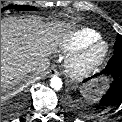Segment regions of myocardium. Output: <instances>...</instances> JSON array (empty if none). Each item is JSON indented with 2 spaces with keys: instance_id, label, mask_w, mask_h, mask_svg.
<instances>
[{
  "instance_id": "f54148a6",
  "label": "myocardium",
  "mask_w": 122,
  "mask_h": 122,
  "mask_svg": "<svg viewBox=\"0 0 122 122\" xmlns=\"http://www.w3.org/2000/svg\"><path fill=\"white\" fill-rule=\"evenodd\" d=\"M109 54V44L99 39L72 53L66 61L68 74L82 79L98 69Z\"/></svg>"
}]
</instances>
